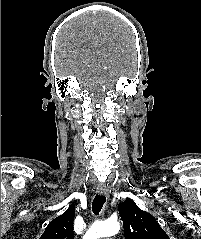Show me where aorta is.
Here are the masks:
<instances>
[{"label": "aorta", "instance_id": "762f6f07", "mask_svg": "<svg viewBox=\"0 0 201 239\" xmlns=\"http://www.w3.org/2000/svg\"><path fill=\"white\" fill-rule=\"evenodd\" d=\"M120 230V225L117 221L98 222L91 226L86 232L83 239H99L103 237L113 236Z\"/></svg>", "mask_w": 201, "mask_h": 239}]
</instances>
